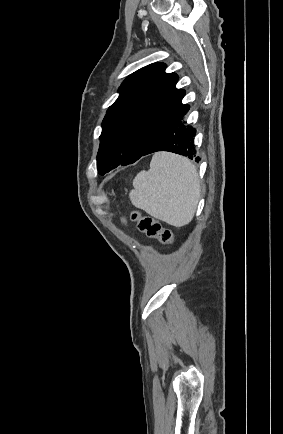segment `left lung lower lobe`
Listing matches in <instances>:
<instances>
[{"label": "left lung lower lobe", "instance_id": "left-lung-lower-lobe-1", "mask_svg": "<svg viewBox=\"0 0 283 434\" xmlns=\"http://www.w3.org/2000/svg\"><path fill=\"white\" fill-rule=\"evenodd\" d=\"M189 108L190 107L187 104L181 105L169 117L143 152L142 156L157 151H169L193 159L196 153L193 147L196 129L184 125L183 122V118L189 111ZM199 160V157L195 158L196 162Z\"/></svg>", "mask_w": 283, "mask_h": 434}]
</instances>
